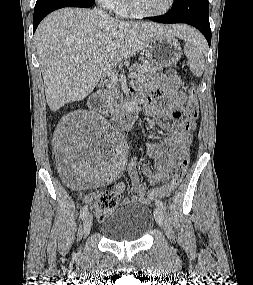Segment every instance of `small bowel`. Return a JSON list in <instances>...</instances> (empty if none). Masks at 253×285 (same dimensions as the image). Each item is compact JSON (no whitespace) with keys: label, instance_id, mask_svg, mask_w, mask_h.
Listing matches in <instances>:
<instances>
[{"label":"small bowel","instance_id":"small-bowel-1","mask_svg":"<svg viewBox=\"0 0 253 285\" xmlns=\"http://www.w3.org/2000/svg\"><path fill=\"white\" fill-rule=\"evenodd\" d=\"M132 93L145 105L147 115L163 130L171 134L165 138V145L158 142H146L145 146L150 156L156 159L155 169L148 164L141 167L142 174L152 186L165 183L169 180L178 162L184 157L191 143V132L195 128V121L184 118L183 105L187 95L181 90V80L178 76L163 74L137 83ZM161 99H166L164 104H158ZM170 119L171 123L166 122ZM139 149V147H138ZM61 153H67V147L62 144ZM126 172L131 179L130 196L127 201L149 204L153 198L164 197L161 193L156 196L150 194L146 184L140 182L135 162L130 163ZM125 190V184L119 182L114 185L113 191L120 196Z\"/></svg>","mask_w":253,"mask_h":285}]
</instances>
